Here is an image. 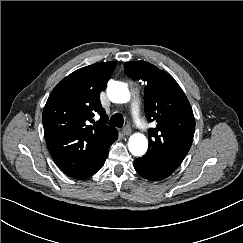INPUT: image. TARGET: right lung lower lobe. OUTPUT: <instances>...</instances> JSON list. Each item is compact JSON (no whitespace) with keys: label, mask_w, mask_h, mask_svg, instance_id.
Masks as SVG:
<instances>
[{"label":"right lung lower lobe","mask_w":243,"mask_h":243,"mask_svg":"<svg viewBox=\"0 0 243 243\" xmlns=\"http://www.w3.org/2000/svg\"><path fill=\"white\" fill-rule=\"evenodd\" d=\"M117 139V138H116ZM115 139V140H116ZM114 140V141H115ZM113 141V142H114ZM108 151H109V147L107 148V151L105 152V154L102 156V158L97 162V164L91 168L89 171L83 173V174H80V175H77V176H70L72 178H75V179H86V178H89L91 177L92 175H94L96 172H98L104 165L105 163V160L108 156Z\"/></svg>","instance_id":"right-lung-lower-lobe-1"}]
</instances>
